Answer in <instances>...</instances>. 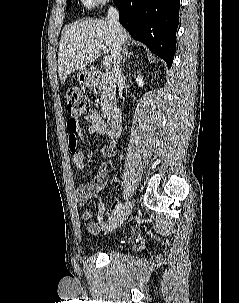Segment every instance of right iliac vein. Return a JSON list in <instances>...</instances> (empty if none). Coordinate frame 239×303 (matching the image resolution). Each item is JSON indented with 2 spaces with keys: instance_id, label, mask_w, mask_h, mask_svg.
<instances>
[{
  "instance_id": "1",
  "label": "right iliac vein",
  "mask_w": 239,
  "mask_h": 303,
  "mask_svg": "<svg viewBox=\"0 0 239 303\" xmlns=\"http://www.w3.org/2000/svg\"><path fill=\"white\" fill-rule=\"evenodd\" d=\"M132 210V202H127L125 206L121 209V211L114 216L108 225L106 226L105 230L107 232H112L116 230L118 227L121 226V224L128 218Z\"/></svg>"
}]
</instances>
